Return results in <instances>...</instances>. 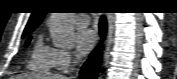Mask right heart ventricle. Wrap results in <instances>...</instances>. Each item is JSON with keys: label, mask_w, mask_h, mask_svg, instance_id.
I'll return each mask as SVG.
<instances>
[{"label": "right heart ventricle", "mask_w": 177, "mask_h": 79, "mask_svg": "<svg viewBox=\"0 0 177 79\" xmlns=\"http://www.w3.org/2000/svg\"><path fill=\"white\" fill-rule=\"evenodd\" d=\"M54 52L55 48L45 45L41 37H39L31 51L28 68L40 73L51 72L55 68Z\"/></svg>", "instance_id": "1"}]
</instances>
